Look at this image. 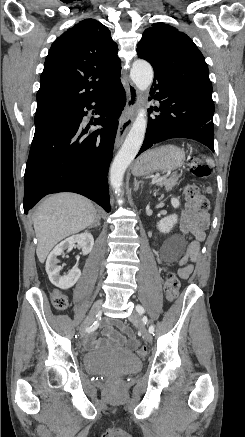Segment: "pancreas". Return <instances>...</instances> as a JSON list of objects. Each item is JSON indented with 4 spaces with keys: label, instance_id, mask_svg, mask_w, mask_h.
Listing matches in <instances>:
<instances>
[{
    "label": "pancreas",
    "instance_id": "cf45deb5",
    "mask_svg": "<svg viewBox=\"0 0 245 437\" xmlns=\"http://www.w3.org/2000/svg\"><path fill=\"white\" fill-rule=\"evenodd\" d=\"M177 180L178 176H172L170 178H164L163 180L158 182V185L165 186L167 191L172 190L174 187L177 186Z\"/></svg>",
    "mask_w": 245,
    "mask_h": 437
}]
</instances>
